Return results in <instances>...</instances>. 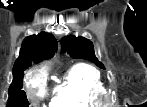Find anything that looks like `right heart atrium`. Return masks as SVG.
<instances>
[{
  "mask_svg": "<svg viewBox=\"0 0 147 107\" xmlns=\"http://www.w3.org/2000/svg\"><path fill=\"white\" fill-rule=\"evenodd\" d=\"M28 92L33 102L37 103L46 95V72L37 70L28 77Z\"/></svg>",
  "mask_w": 147,
  "mask_h": 107,
  "instance_id": "1",
  "label": "right heart atrium"
}]
</instances>
